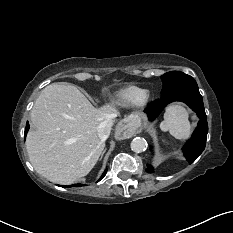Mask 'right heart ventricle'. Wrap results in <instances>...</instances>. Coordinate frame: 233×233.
<instances>
[{
    "mask_svg": "<svg viewBox=\"0 0 233 233\" xmlns=\"http://www.w3.org/2000/svg\"><path fill=\"white\" fill-rule=\"evenodd\" d=\"M146 97V92L135 86L127 87L115 94V98L126 104H139Z\"/></svg>",
    "mask_w": 233,
    "mask_h": 233,
    "instance_id": "e07e8e85",
    "label": "right heart ventricle"
}]
</instances>
